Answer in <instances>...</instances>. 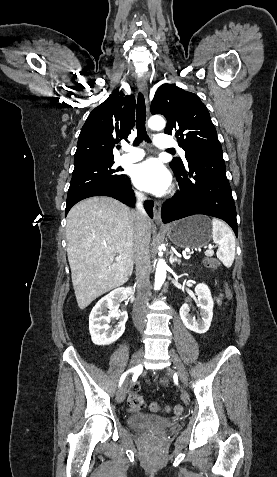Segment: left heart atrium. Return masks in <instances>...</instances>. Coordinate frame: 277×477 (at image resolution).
<instances>
[{
    "label": "left heart atrium",
    "mask_w": 277,
    "mask_h": 477,
    "mask_svg": "<svg viewBox=\"0 0 277 477\" xmlns=\"http://www.w3.org/2000/svg\"><path fill=\"white\" fill-rule=\"evenodd\" d=\"M132 178L139 189L153 194L164 193L171 184L170 174L157 159H149L136 165Z\"/></svg>",
    "instance_id": "left-heart-atrium-1"
}]
</instances>
